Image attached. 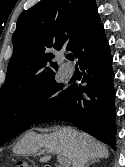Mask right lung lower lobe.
Masks as SVG:
<instances>
[{"label":"right lung lower lobe","mask_w":125,"mask_h":167,"mask_svg":"<svg viewBox=\"0 0 125 167\" xmlns=\"http://www.w3.org/2000/svg\"><path fill=\"white\" fill-rule=\"evenodd\" d=\"M78 58L86 84L69 86L64 100L50 106L34 123L68 121L116 150L114 73L104 29Z\"/></svg>","instance_id":"98d812e1"}]
</instances>
